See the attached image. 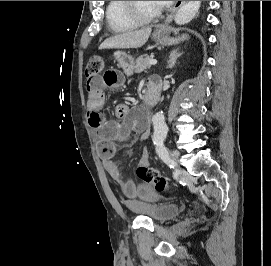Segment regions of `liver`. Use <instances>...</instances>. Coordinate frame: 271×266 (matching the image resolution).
<instances>
[{"mask_svg": "<svg viewBox=\"0 0 271 266\" xmlns=\"http://www.w3.org/2000/svg\"><path fill=\"white\" fill-rule=\"evenodd\" d=\"M151 31V27H147L140 30L128 31L122 34L114 35L102 42L99 49L140 48L147 42Z\"/></svg>", "mask_w": 271, "mask_h": 266, "instance_id": "6515ba94", "label": "liver"}]
</instances>
